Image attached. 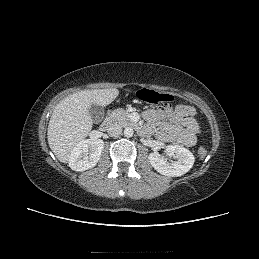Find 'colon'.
Masks as SVG:
<instances>
[{
	"mask_svg": "<svg viewBox=\"0 0 259 259\" xmlns=\"http://www.w3.org/2000/svg\"><path fill=\"white\" fill-rule=\"evenodd\" d=\"M137 97L144 103L147 104H163L167 105L173 101V96L168 93L158 92L151 89H141L137 92ZM178 103H181V100H178ZM194 124H197V118H194ZM196 134L198 139H201V135L199 133V125H196ZM197 155L200 159H204L207 155V151L205 148H199L197 151Z\"/></svg>",
	"mask_w": 259,
	"mask_h": 259,
	"instance_id": "1",
	"label": "colon"
}]
</instances>
